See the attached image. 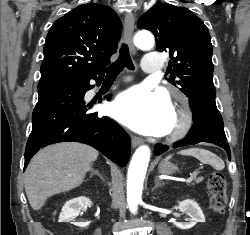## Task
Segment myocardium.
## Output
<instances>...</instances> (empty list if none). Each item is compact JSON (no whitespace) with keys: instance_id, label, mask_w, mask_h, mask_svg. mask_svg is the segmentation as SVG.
Here are the masks:
<instances>
[{"instance_id":"myocardium-1","label":"myocardium","mask_w":250,"mask_h":235,"mask_svg":"<svg viewBox=\"0 0 250 235\" xmlns=\"http://www.w3.org/2000/svg\"><path fill=\"white\" fill-rule=\"evenodd\" d=\"M175 125L166 136L167 142H175L184 138L192 128L193 114L185 100L181 101V105L175 110Z\"/></svg>"}]
</instances>
